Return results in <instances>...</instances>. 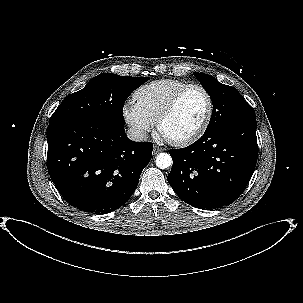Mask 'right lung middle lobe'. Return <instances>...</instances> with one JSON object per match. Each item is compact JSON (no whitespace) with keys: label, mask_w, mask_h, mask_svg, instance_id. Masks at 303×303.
<instances>
[{"label":"right lung middle lobe","mask_w":303,"mask_h":303,"mask_svg":"<svg viewBox=\"0 0 303 303\" xmlns=\"http://www.w3.org/2000/svg\"><path fill=\"white\" fill-rule=\"evenodd\" d=\"M146 81L147 77L99 74L83 89L68 95L51 116L49 124L98 121L123 127L124 103L128 96Z\"/></svg>","instance_id":"obj_1"}]
</instances>
